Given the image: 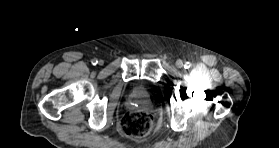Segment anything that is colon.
Segmentation results:
<instances>
[{"label":"colon","mask_w":279,"mask_h":148,"mask_svg":"<svg viewBox=\"0 0 279 148\" xmlns=\"http://www.w3.org/2000/svg\"><path fill=\"white\" fill-rule=\"evenodd\" d=\"M157 122L155 117L140 110H130L123 114L119 121L120 131L132 138H143L155 131Z\"/></svg>","instance_id":"obj_1"}]
</instances>
